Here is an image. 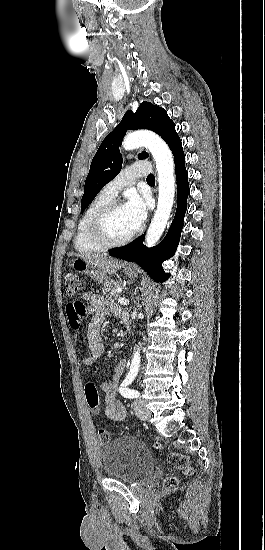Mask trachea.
Instances as JSON below:
<instances>
[{"instance_id":"obj_1","label":"trachea","mask_w":265,"mask_h":550,"mask_svg":"<svg viewBox=\"0 0 265 550\" xmlns=\"http://www.w3.org/2000/svg\"><path fill=\"white\" fill-rule=\"evenodd\" d=\"M147 182H148V183L155 182V177H154V175H152V174L148 175V177H147Z\"/></svg>"}]
</instances>
